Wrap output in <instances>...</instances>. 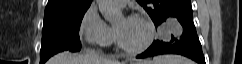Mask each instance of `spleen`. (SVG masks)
<instances>
[{"label":"spleen","mask_w":242,"mask_h":64,"mask_svg":"<svg viewBox=\"0 0 242 64\" xmlns=\"http://www.w3.org/2000/svg\"><path fill=\"white\" fill-rule=\"evenodd\" d=\"M153 64H192V62L179 55H161L153 59Z\"/></svg>","instance_id":"obj_1"}]
</instances>
